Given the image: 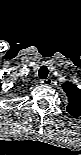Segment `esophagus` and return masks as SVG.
Segmentation results:
<instances>
[{
	"mask_svg": "<svg viewBox=\"0 0 81 155\" xmlns=\"http://www.w3.org/2000/svg\"><path fill=\"white\" fill-rule=\"evenodd\" d=\"M41 84L43 85H51L52 84V79L51 78H45V79H42L40 81Z\"/></svg>",
	"mask_w": 81,
	"mask_h": 155,
	"instance_id": "1",
	"label": "esophagus"
}]
</instances>
